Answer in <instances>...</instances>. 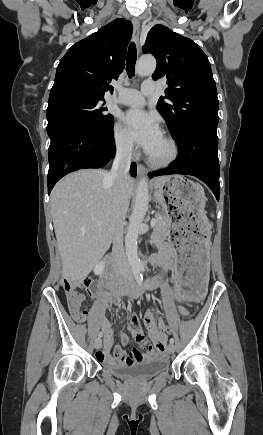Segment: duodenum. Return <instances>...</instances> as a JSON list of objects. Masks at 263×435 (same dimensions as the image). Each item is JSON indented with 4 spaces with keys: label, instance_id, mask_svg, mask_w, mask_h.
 I'll return each instance as SVG.
<instances>
[{
    "label": "duodenum",
    "instance_id": "obj_1",
    "mask_svg": "<svg viewBox=\"0 0 263 435\" xmlns=\"http://www.w3.org/2000/svg\"><path fill=\"white\" fill-rule=\"evenodd\" d=\"M108 276L110 278L109 290L112 294L130 295L135 297L146 288L142 283L139 284L137 281H130L128 279H122L118 285L115 281V272L112 261H110L108 265Z\"/></svg>",
    "mask_w": 263,
    "mask_h": 435
}]
</instances>
